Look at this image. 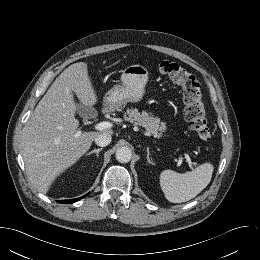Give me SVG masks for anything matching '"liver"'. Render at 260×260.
<instances>
[{
    "label": "liver",
    "mask_w": 260,
    "mask_h": 260,
    "mask_svg": "<svg viewBox=\"0 0 260 260\" xmlns=\"http://www.w3.org/2000/svg\"><path fill=\"white\" fill-rule=\"evenodd\" d=\"M74 94L84 106L97 103L85 62L70 65L56 78L23 128L25 167L30 183L39 192L46 193L57 176L89 150L98 134H113L111 129L78 130Z\"/></svg>",
    "instance_id": "liver-1"
}]
</instances>
